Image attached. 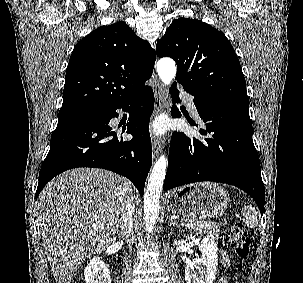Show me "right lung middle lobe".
Instances as JSON below:
<instances>
[{
    "label": "right lung middle lobe",
    "mask_w": 303,
    "mask_h": 283,
    "mask_svg": "<svg viewBox=\"0 0 303 283\" xmlns=\"http://www.w3.org/2000/svg\"><path fill=\"white\" fill-rule=\"evenodd\" d=\"M97 115H98V111L67 116V117H58V123H64V122H70L76 120H93L95 117H97Z\"/></svg>",
    "instance_id": "obj_1"
}]
</instances>
